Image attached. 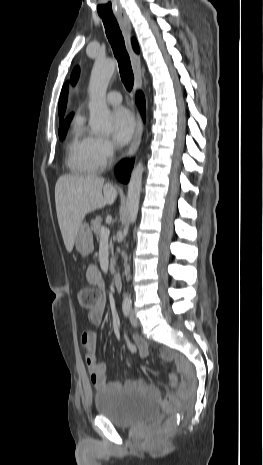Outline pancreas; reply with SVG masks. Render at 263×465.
Segmentation results:
<instances>
[{"mask_svg": "<svg viewBox=\"0 0 263 465\" xmlns=\"http://www.w3.org/2000/svg\"><path fill=\"white\" fill-rule=\"evenodd\" d=\"M102 227L103 226H102L101 217H96L94 220L91 221V229L94 232V234L96 235L97 239H99V237H100V231H101ZM109 247H110V250H111V253H112L111 263H110V270H111V272H113L114 265H115V257L113 255V245H112L111 241H110Z\"/></svg>", "mask_w": 263, "mask_h": 465, "instance_id": "obj_1", "label": "pancreas"}]
</instances>
